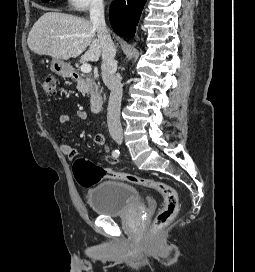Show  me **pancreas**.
<instances>
[{"instance_id":"pancreas-1","label":"pancreas","mask_w":255,"mask_h":272,"mask_svg":"<svg viewBox=\"0 0 255 272\" xmlns=\"http://www.w3.org/2000/svg\"><path fill=\"white\" fill-rule=\"evenodd\" d=\"M82 76L85 78V82L79 81L77 84V89L82 92L83 94L88 93L92 90H97L98 85L95 82V80L90 76L86 74H82Z\"/></svg>"}]
</instances>
